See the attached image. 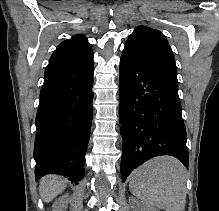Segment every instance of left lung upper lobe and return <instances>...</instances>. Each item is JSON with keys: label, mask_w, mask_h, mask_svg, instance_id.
Instances as JSON below:
<instances>
[{"label": "left lung upper lobe", "mask_w": 219, "mask_h": 211, "mask_svg": "<svg viewBox=\"0 0 219 211\" xmlns=\"http://www.w3.org/2000/svg\"><path fill=\"white\" fill-rule=\"evenodd\" d=\"M123 52L178 82L173 52L160 31L147 26L136 27L126 41Z\"/></svg>", "instance_id": "5c2ea615"}]
</instances>
